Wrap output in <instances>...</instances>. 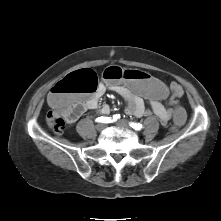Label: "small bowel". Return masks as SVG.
I'll use <instances>...</instances> for the list:
<instances>
[{"label": "small bowel", "mask_w": 221, "mask_h": 221, "mask_svg": "<svg viewBox=\"0 0 221 221\" xmlns=\"http://www.w3.org/2000/svg\"><path fill=\"white\" fill-rule=\"evenodd\" d=\"M140 72V71H139ZM166 87V94L161 99L149 100L135 94L132 89H127L123 84H109L100 82L91 94H85L78 97L76 100V109L69 116V123L76 121L84 111H97L99 114L107 115L110 113L109 105L105 104L99 106V101L103 95L108 91H113L120 95L127 102L125 112L135 117H143L154 114L163 125L170 121V110L173 106L179 105V99L183 95L182 87L172 82L170 85L164 84ZM169 98V106H165L162 100ZM145 99L148 100L150 108L145 106Z\"/></svg>", "instance_id": "c3829d8e"}]
</instances>
